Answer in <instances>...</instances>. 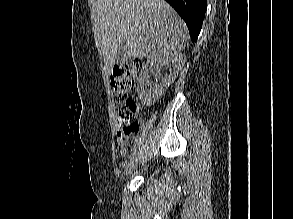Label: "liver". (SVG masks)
Wrapping results in <instances>:
<instances>
[{"instance_id":"1","label":"liver","mask_w":293,"mask_h":219,"mask_svg":"<svg viewBox=\"0 0 293 219\" xmlns=\"http://www.w3.org/2000/svg\"><path fill=\"white\" fill-rule=\"evenodd\" d=\"M94 19L96 47L109 74L121 43L133 58L154 59L179 53L188 34L183 20L164 0H97Z\"/></svg>"}]
</instances>
